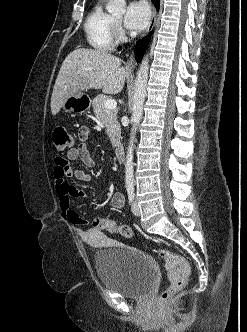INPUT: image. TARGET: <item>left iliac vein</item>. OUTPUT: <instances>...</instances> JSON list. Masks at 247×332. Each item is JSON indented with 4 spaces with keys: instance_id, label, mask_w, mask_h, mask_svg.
<instances>
[{
    "instance_id": "obj_1",
    "label": "left iliac vein",
    "mask_w": 247,
    "mask_h": 332,
    "mask_svg": "<svg viewBox=\"0 0 247 332\" xmlns=\"http://www.w3.org/2000/svg\"><path fill=\"white\" fill-rule=\"evenodd\" d=\"M132 212L135 216H140V209L139 206L137 204V201L135 200L134 203L132 204Z\"/></svg>"
}]
</instances>
